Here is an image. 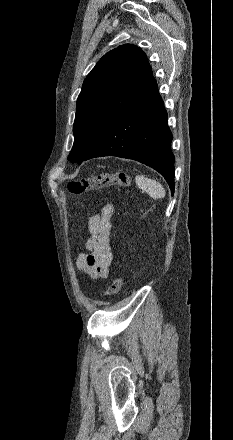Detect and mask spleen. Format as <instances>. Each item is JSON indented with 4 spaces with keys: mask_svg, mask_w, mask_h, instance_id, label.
I'll list each match as a JSON object with an SVG mask.
<instances>
[{
    "mask_svg": "<svg viewBox=\"0 0 233 440\" xmlns=\"http://www.w3.org/2000/svg\"><path fill=\"white\" fill-rule=\"evenodd\" d=\"M135 182L136 185L142 189L143 191H145L146 193H148V195L154 199H162L165 197V189L163 188V186L150 178L144 177L142 175H137L135 177Z\"/></svg>",
    "mask_w": 233,
    "mask_h": 440,
    "instance_id": "3e777b00",
    "label": "spleen"
}]
</instances>
